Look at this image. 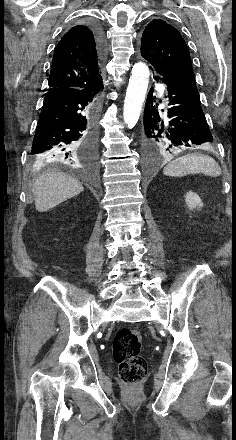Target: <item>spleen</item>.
Segmentation results:
<instances>
[{"label":"spleen","mask_w":236,"mask_h":440,"mask_svg":"<svg viewBox=\"0 0 236 440\" xmlns=\"http://www.w3.org/2000/svg\"><path fill=\"white\" fill-rule=\"evenodd\" d=\"M163 173L166 176L172 177H183L198 173L217 177L221 175L222 171L219 164L212 157L201 153H192L168 163L164 167Z\"/></svg>","instance_id":"3e777b00"}]
</instances>
